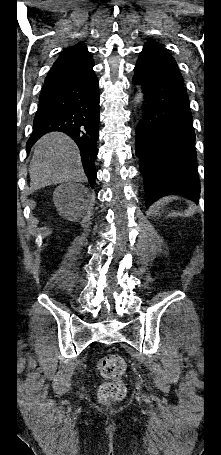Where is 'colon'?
Instances as JSON below:
<instances>
[{"label": "colon", "instance_id": "1", "mask_svg": "<svg viewBox=\"0 0 221 455\" xmlns=\"http://www.w3.org/2000/svg\"><path fill=\"white\" fill-rule=\"evenodd\" d=\"M98 369L106 381L100 386L99 398L103 403L119 400L125 395V385L122 376L126 363L119 355H108L98 363Z\"/></svg>", "mask_w": 221, "mask_h": 455}]
</instances>
